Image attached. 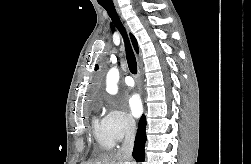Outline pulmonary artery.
Masks as SVG:
<instances>
[{"label": "pulmonary artery", "mask_w": 251, "mask_h": 164, "mask_svg": "<svg viewBox=\"0 0 251 164\" xmlns=\"http://www.w3.org/2000/svg\"><path fill=\"white\" fill-rule=\"evenodd\" d=\"M124 82H125V84L127 85V86H129V87H133L134 86V80H133V78L131 77V76H126L125 78H124Z\"/></svg>", "instance_id": "obj_1"}]
</instances>
